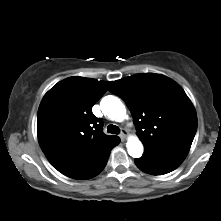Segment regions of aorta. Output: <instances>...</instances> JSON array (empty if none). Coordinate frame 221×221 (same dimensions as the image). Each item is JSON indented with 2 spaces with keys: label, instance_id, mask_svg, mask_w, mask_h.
Wrapping results in <instances>:
<instances>
[{
  "label": "aorta",
  "instance_id": "762f6f07",
  "mask_svg": "<svg viewBox=\"0 0 221 221\" xmlns=\"http://www.w3.org/2000/svg\"><path fill=\"white\" fill-rule=\"evenodd\" d=\"M101 110L111 120L121 122L126 117V108L118 97L109 95L101 100ZM127 151L133 158H139L143 154V144L137 137H130L126 144Z\"/></svg>",
  "mask_w": 221,
  "mask_h": 221
}]
</instances>
